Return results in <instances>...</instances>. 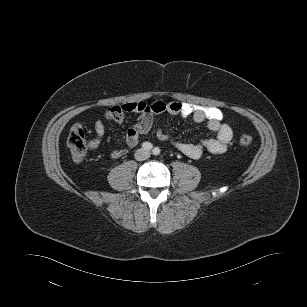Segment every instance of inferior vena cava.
<instances>
[{
  "label": "inferior vena cava",
  "instance_id": "obj_1",
  "mask_svg": "<svg viewBox=\"0 0 307 307\" xmlns=\"http://www.w3.org/2000/svg\"><path fill=\"white\" fill-rule=\"evenodd\" d=\"M149 157H150V153L143 149H139L135 154V158L138 161L146 160Z\"/></svg>",
  "mask_w": 307,
  "mask_h": 307
}]
</instances>
